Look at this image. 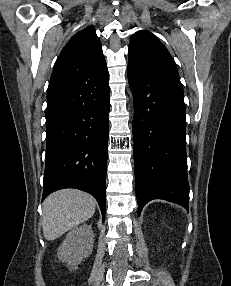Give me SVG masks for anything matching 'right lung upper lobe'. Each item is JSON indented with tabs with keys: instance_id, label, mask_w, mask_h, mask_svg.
<instances>
[{
	"instance_id": "1",
	"label": "right lung upper lobe",
	"mask_w": 231,
	"mask_h": 286,
	"mask_svg": "<svg viewBox=\"0 0 231 286\" xmlns=\"http://www.w3.org/2000/svg\"><path fill=\"white\" fill-rule=\"evenodd\" d=\"M101 42L95 29L76 33L62 49L52 72L48 101L61 97L75 85L107 73Z\"/></svg>"
}]
</instances>
